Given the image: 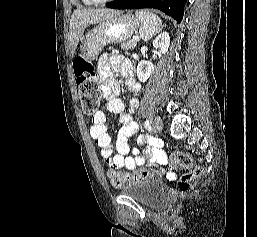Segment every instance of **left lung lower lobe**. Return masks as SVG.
<instances>
[{
	"label": "left lung lower lobe",
	"mask_w": 257,
	"mask_h": 237,
	"mask_svg": "<svg viewBox=\"0 0 257 237\" xmlns=\"http://www.w3.org/2000/svg\"><path fill=\"white\" fill-rule=\"evenodd\" d=\"M186 0H117L107 3L108 8L113 9H142L155 8L174 18L180 23L183 18Z\"/></svg>",
	"instance_id": "0a47b994"
}]
</instances>
